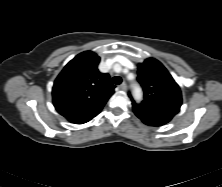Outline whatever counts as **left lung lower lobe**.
Masks as SVG:
<instances>
[{
	"label": "left lung lower lobe",
	"mask_w": 222,
	"mask_h": 187,
	"mask_svg": "<svg viewBox=\"0 0 222 187\" xmlns=\"http://www.w3.org/2000/svg\"><path fill=\"white\" fill-rule=\"evenodd\" d=\"M133 111L139 119L149 126H162L168 123L174 116L171 113L144 110L135 105H133Z\"/></svg>",
	"instance_id": "obj_1"
}]
</instances>
